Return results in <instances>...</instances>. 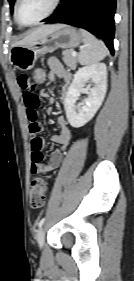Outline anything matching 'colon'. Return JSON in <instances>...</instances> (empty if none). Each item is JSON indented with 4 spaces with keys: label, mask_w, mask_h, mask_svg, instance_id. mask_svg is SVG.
Returning <instances> with one entry per match:
<instances>
[{
    "label": "colon",
    "mask_w": 134,
    "mask_h": 281,
    "mask_svg": "<svg viewBox=\"0 0 134 281\" xmlns=\"http://www.w3.org/2000/svg\"><path fill=\"white\" fill-rule=\"evenodd\" d=\"M36 85H42L47 81V73L44 69L38 68L34 72ZM47 185L43 178H35L31 187L30 204L34 208L42 207L46 201Z\"/></svg>",
    "instance_id": "obj_1"
}]
</instances>
